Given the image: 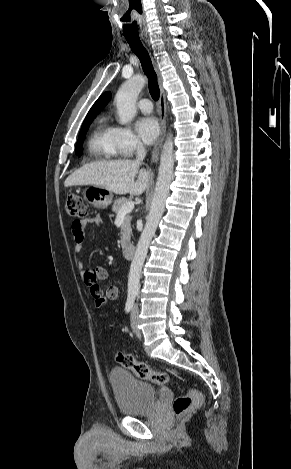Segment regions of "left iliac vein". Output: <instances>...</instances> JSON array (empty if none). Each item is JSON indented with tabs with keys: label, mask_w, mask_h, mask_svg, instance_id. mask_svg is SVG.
Masks as SVG:
<instances>
[{
	"label": "left iliac vein",
	"mask_w": 291,
	"mask_h": 469,
	"mask_svg": "<svg viewBox=\"0 0 291 469\" xmlns=\"http://www.w3.org/2000/svg\"><path fill=\"white\" fill-rule=\"evenodd\" d=\"M131 326L134 331V333L140 337L141 336V330L138 328V306L135 305L132 309L131 312Z\"/></svg>",
	"instance_id": "left-iliac-vein-1"
}]
</instances>
